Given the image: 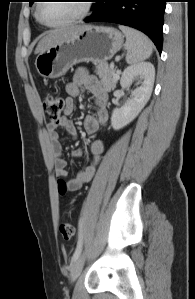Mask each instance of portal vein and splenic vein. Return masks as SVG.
<instances>
[{"label": "portal vein and splenic vein", "mask_w": 195, "mask_h": 299, "mask_svg": "<svg viewBox=\"0 0 195 299\" xmlns=\"http://www.w3.org/2000/svg\"><path fill=\"white\" fill-rule=\"evenodd\" d=\"M119 73H120V71H117V73L114 74V77L119 78Z\"/></svg>", "instance_id": "portal-vein-and-splenic-vein-1"}]
</instances>
